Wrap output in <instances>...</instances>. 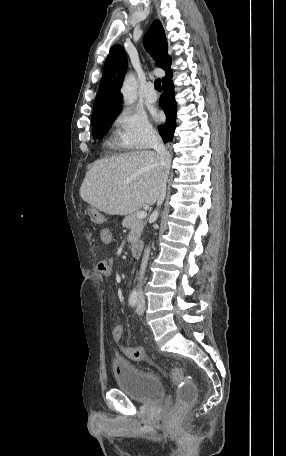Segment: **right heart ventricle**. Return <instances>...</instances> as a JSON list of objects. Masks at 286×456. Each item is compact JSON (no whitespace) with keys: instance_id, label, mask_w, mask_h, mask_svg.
<instances>
[{"instance_id":"right-heart-ventricle-1","label":"right heart ventricle","mask_w":286,"mask_h":456,"mask_svg":"<svg viewBox=\"0 0 286 456\" xmlns=\"http://www.w3.org/2000/svg\"><path fill=\"white\" fill-rule=\"evenodd\" d=\"M115 144L118 145L117 141H116V142H114V141H110V142H109V145H110V146H114ZM118 146H119V145H118Z\"/></svg>"}]
</instances>
